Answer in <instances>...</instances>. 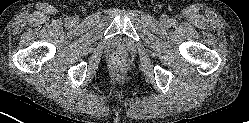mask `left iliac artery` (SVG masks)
Returning a JSON list of instances; mask_svg holds the SVG:
<instances>
[{
	"label": "left iliac artery",
	"instance_id": "1",
	"mask_svg": "<svg viewBox=\"0 0 249 123\" xmlns=\"http://www.w3.org/2000/svg\"><path fill=\"white\" fill-rule=\"evenodd\" d=\"M176 24V20H171V25H175Z\"/></svg>",
	"mask_w": 249,
	"mask_h": 123
}]
</instances>
